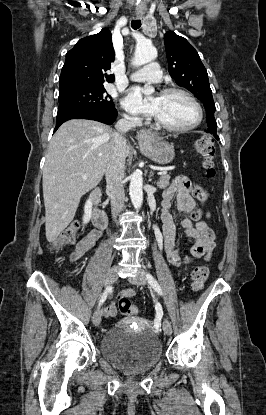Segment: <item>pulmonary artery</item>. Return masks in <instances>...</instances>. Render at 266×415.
I'll use <instances>...</instances> for the list:
<instances>
[{
	"instance_id": "pulmonary-artery-1",
	"label": "pulmonary artery",
	"mask_w": 266,
	"mask_h": 415,
	"mask_svg": "<svg viewBox=\"0 0 266 415\" xmlns=\"http://www.w3.org/2000/svg\"><path fill=\"white\" fill-rule=\"evenodd\" d=\"M133 81L156 83L161 80V71L157 63L152 62L130 75Z\"/></svg>"
}]
</instances>
